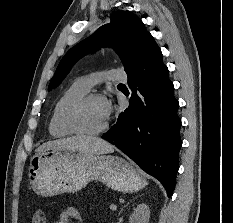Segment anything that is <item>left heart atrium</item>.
Listing matches in <instances>:
<instances>
[{
    "label": "left heart atrium",
    "mask_w": 233,
    "mask_h": 223,
    "mask_svg": "<svg viewBox=\"0 0 233 223\" xmlns=\"http://www.w3.org/2000/svg\"><path fill=\"white\" fill-rule=\"evenodd\" d=\"M113 111H114V108H113L112 102L105 97L101 98V112H102L103 118L106 121H108L111 118Z\"/></svg>",
    "instance_id": "39dd6f15"
}]
</instances>
